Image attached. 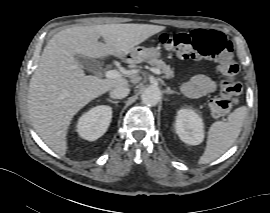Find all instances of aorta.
<instances>
[{
    "label": "aorta",
    "instance_id": "762f6f07",
    "mask_svg": "<svg viewBox=\"0 0 270 213\" xmlns=\"http://www.w3.org/2000/svg\"><path fill=\"white\" fill-rule=\"evenodd\" d=\"M161 99L160 89L156 86H149L141 94V100L144 104L154 106Z\"/></svg>",
    "mask_w": 270,
    "mask_h": 213
}]
</instances>
